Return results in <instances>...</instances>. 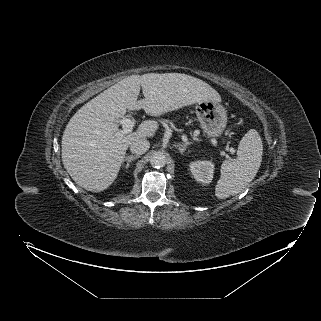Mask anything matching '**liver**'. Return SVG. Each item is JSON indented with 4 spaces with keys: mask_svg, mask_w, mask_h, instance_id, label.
Returning a JSON list of instances; mask_svg holds the SVG:
<instances>
[{
    "mask_svg": "<svg viewBox=\"0 0 321 321\" xmlns=\"http://www.w3.org/2000/svg\"><path fill=\"white\" fill-rule=\"evenodd\" d=\"M142 88L144 99L138 100ZM220 102L206 82L181 73L132 75L109 87L82 106L62 136V162L82 188L101 192L116 179L126 150L137 139L153 137L158 125L144 121L135 132L119 130L127 109H144L159 117L202 101Z\"/></svg>",
    "mask_w": 321,
    "mask_h": 321,
    "instance_id": "1",
    "label": "liver"
}]
</instances>
